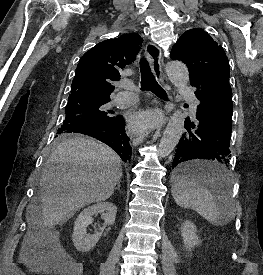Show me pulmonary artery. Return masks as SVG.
Returning a JSON list of instances; mask_svg holds the SVG:
<instances>
[{"label": "pulmonary artery", "mask_w": 263, "mask_h": 275, "mask_svg": "<svg viewBox=\"0 0 263 275\" xmlns=\"http://www.w3.org/2000/svg\"><path fill=\"white\" fill-rule=\"evenodd\" d=\"M125 91L118 93L116 97V105L118 107H128L134 104L137 100V96L134 93V86L131 84L126 85ZM184 97L190 103L191 109L194 111L197 106V99L195 98L193 92L189 88H184Z\"/></svg>", "instance_id": "1"}]
</instances>
